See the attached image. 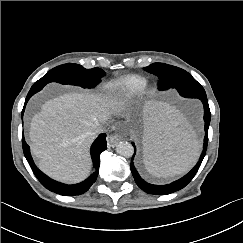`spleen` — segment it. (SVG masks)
Returning <instances> with one entry per match:
<instances>
[{
    "mask_svg": "<svg viewBox=\"0 0 243 243\" xmlns=\"http://www.w3.org/2000/svg\"><path fill=\"white\" fill-rule=\"evenodd\" d=\"M140 116L146 170L157 177L187 171L197 160L200 143L186 118L156 99L142 105Z\"/></svg>",
    "mask_w": 243,
    "mask_h": 243,
    "instance_id": "obj_1",
    "label": "spleen"
}]
</instances>
